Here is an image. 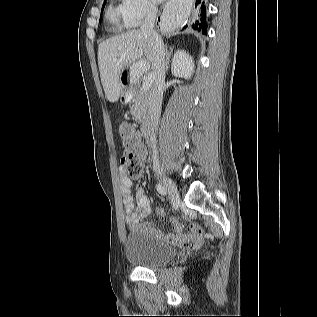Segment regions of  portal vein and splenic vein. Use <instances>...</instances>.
Returning a JSON list of instances; mask_svg holds the SVG:
<instances>
[{"label":"portal vein and splenic vein","instance_id":"portal-vein-and-splenic-vein-1","mask_svg":"<svg viewBox=\"0 0 317 317\" xmlns=\"http://www.w3.org/2000/svg\"><path fill=\"white\" fill-rule=\"evenodd\" d=\"M139 69L143 70V68L145 67V64L144 63H139ZM152 75H148V77L146 78V80L143 82V85H142V89L143 90H148L151 85H152Z\"/></svg>","mask_w":317,"mask_h":317}]
</instances>
